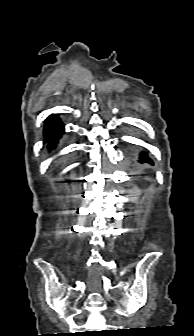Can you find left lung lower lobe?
Wrapping results in <instances>:
<instances>
[{
    "label": "left lung lower lobe",
    "mask_w": 194,
    "mask_h": 336,
    "mask_svg": "<svg viewBox=\"0 0 194 336\" xmlns=\"http://www.w3.org/2000/svg\"><path fill=\"white\" fill-rule=\"evenodd\" d=\"M139 159L142 161V162H145V161H148V157H147V152L143 151L140 153V157Z\"/></svg>",
    "instance_id": "obj_1"
}]
</instances>
